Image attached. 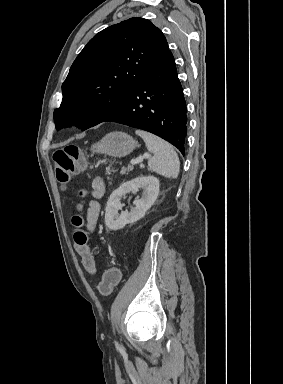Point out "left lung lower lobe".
<instances>
[{"instance_id":"left-lung-lower-lobe-1","label":"left lung lower lobe","mask_w":283,"mask_h":384,"mask_svg":"<svg viewBox=\"0 0 283 384\" xmlns=\"http://www.w3.org/2000/svg\"><path fill=\"white\" fill-rule=\"evenodd\" d=\"M102 122H116L151 132L184 154L186 102L169 49L137 82L124 103Z\"/></svg>"}]
</instances>
